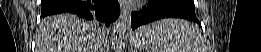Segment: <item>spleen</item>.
Listing matches in <instances>:
<instances>
[{
	"label": "spleen",
	"instance_id": "3e777b00",
	"mask_svg": "<svg viewBox=\"0 0 261 52\" xmlns=\"http://www.w3.org/2000/svg\"><path fill=\"white\" fill-rule=\"evenodd\" d=\"M152 45V52H205L198 29L182 19H163L141 27Z\"/></svg>",
	"mask_w": 261,
	"mask_h": 52
}]
</instances>
